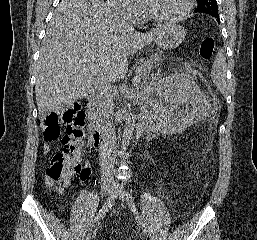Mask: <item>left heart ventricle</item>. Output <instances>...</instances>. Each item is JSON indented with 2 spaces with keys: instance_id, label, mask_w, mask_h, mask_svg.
<instances>
[{
  "instance_id": "1",
  "label": "left heart ventricle",
  "mask_w": 257,
  "mask_h": 240,
  "mask_svg": "<svg viewBox=\"0 0 257 240\" xmlns=\"http://www.w3.org/2000/svg\"><path fill=\"white\" fill-rule=\"evenodd\" d=\"M155 14L169 17L178 14L185 6V0H148Z\"/></svg>"
}]
</instances>
